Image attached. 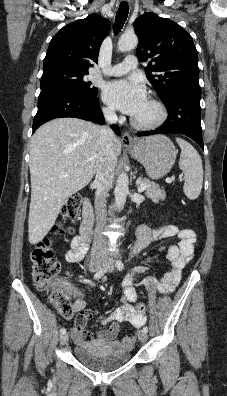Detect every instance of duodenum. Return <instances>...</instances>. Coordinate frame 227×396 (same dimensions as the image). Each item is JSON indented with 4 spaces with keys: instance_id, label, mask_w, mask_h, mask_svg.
<instances>
[{
    "instance_id": "1",
    "label": "duodenum",
    "mask_w": 227,
    "mask_h": 396,
    "mask_svg": "<svg viewBox=\"0 0 227 396\" xmlns=\"http://www.w3.org/2000/svg\"><path fill=\"white\" fill-rule=\"evenodd\" d=\"M94 223V213L91 201L88 197L84 198L82 222L80 226V238L87 245Z\"/></svg>"
}]
</instances>
